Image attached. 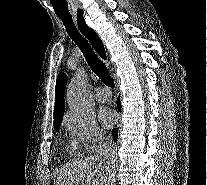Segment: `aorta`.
I'll return each mask as SVG.
<instances>
[{
	"label": "aorta",
	"mask_w": 207,
	"mask_h": 185,
	"mask_svg": "<svg viewBox=\"0 0 207 185\" xmlns=\"http://www.w3.org/2000/svg\"><path fill=\"white\" fill-rule=\"evenodd\" d=\"M87 74L78 69L68 85L66 99L68 107L75 113H84L88 109Z\"/></svg>",
	"instance_id": "762f6f07"
}]
</instances>
